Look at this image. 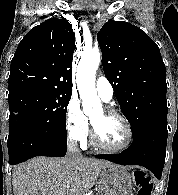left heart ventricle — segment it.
Segmentation results:
<instances>
[{
    "instance_id": "1",
    "label": "left heart ventricle",
    "mask_w": 178,
    "mask_h": 195,
    "mask_svg": "<svg viewBox=\"0 0 178 195\" xmlns=\"http://www.w3.org/2000/svg\"><path fill=\"white\" fill-rule=\"evenodd\" d=\"M100 140L109 146H120L127 140V131L123 123L115 118L107 116L103 109L92 117Z\"/></svg>"
}]
</instances>
